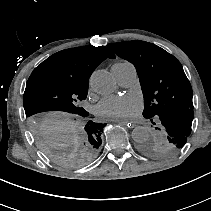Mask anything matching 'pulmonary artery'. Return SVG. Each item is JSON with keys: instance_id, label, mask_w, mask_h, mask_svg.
Masks as SVG:
<instances>
[{"instance_id": "1", "label": "pulmonary artery", "mask_w": 211, "mask_h": 211, "mask_svg": "<svg viewBox=\"0 0 211 211\" xmlns=\"http://www.w3.org/2000/svg\"><path fill=\"white\" fill-rule=\"evenodd\" d=\"M111 70L122 86H130L137 79V71L132 64L116 63Z\"/></svg>"}]
</instances>
